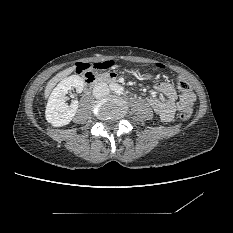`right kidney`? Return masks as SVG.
<instances>
[{"label": "right kidney", "instance_id": "obj_1", "mask_svg": "<svg viewBox=\"0 0 233 233\" xmlns=\"http://www.w3.org/2000/svg\"><path fill=\"white\" fill-rule=\"evenodd\" d=\"M78 93L83 91L84 81L78 75L64 78L52 91L45 111L46 120L54 127H61L70 123L78 109V101L69 106L66 103V94L72 88Z\"/></svg>", "mask_w": 233, "mask_h": 233}]
</instances>
